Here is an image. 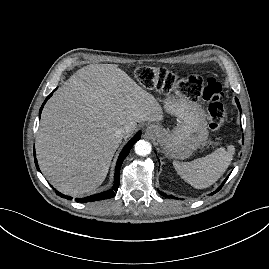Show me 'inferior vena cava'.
Masks as SVG:
<instances>
[{
	"instance_id": "obj_1",
	"label": "inferior vena cava",
	"mask_w": 269,
	"mask_h": 269,
	"mask_svg": "<svg viewBox=\"0 0 269 269\" xmlns=\"http://www.w3.org/2000/svg\"><path fill=\"white\" fill-rule=\"evenodd\" d=\"M126 135V129L124 127H119L115 131V136L119 139L124 138Z\"/></svg>"
}]
</instances>
